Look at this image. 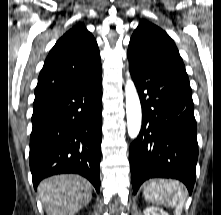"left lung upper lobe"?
Instances as JSON below:
<instances>
[{
    "label": "left lung upper lobe",
    "instance_id": "left-lung-upper-lobe-1",
    "mask_svg": "<svg viewBox=\"0 0 221 215\" xmlns=\"http://www.w3.org/2000/svg\"><path fill=\"white\" fill-rule=\"evenodd\" d=\"M128 57L147 64H159L186 73L174 41L155 24L142 19L131 36Z\"/></svg>",
    "mask_w": 221,
    "mask_h": 215
}]
</instances>
